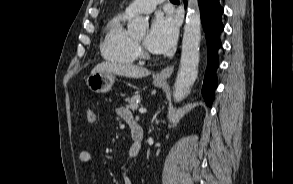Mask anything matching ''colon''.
<instances>
[{"mask_svg":"<svg viewBox=\"0 0 293 184\" xmlns=\"http://www.w3.org/2000/svg\"><path fill=\"white\" fill-rule=\"evenodd\" d=\"M86 118L89 123H94L96 120V112L93 108H88L86 111Z\"/></svg>","mask_w":293,"mask_h":184,"instance_id":"1","label":"colon"}]
</instances>
